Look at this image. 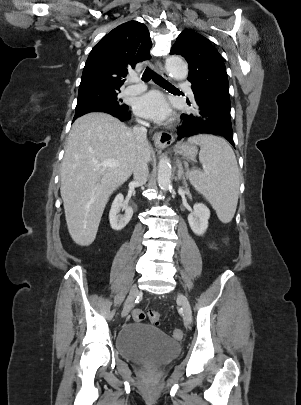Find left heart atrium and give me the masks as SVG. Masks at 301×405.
I'll return each instance as SVG.
<instances>
[{"instance_id":"obj_1","label":"left heart atrium","mask_w":301,"mask_h":405,"mask_svg":"<svg viewBox=\"0 0 301 405\" xmlns=\"http://www.w3.org/2000/svg\"><path fill=\"white\" fill-rule=\"evenodd\" d=\"M134 110L137 115L156 122L166 121L172 115L168 100L157 91L140 96L134 103Z\"/></svg>"}]
</instances>
